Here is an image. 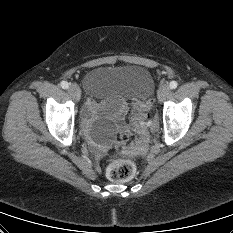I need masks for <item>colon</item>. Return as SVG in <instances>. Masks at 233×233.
<instances>
[{"label": "colon", "mask_w": 233, "mask_h": 233, "mask_svg": "<svg viewBox=\"0 0 233 233\" xmlns=\"http://www.w3.org/2000/svg\"><path fill=\"white\" fill-rule=\"evenodd\" d=\"M151 108L150 101L141 104L134 117V128L137 132L136 140L131 144L129 150L138 152L145 149L149 142V110ZM136 172L135 164L126 159H115L107 167V176L114 182H124L131 179Z\"/></svg>", "instance_id": "obj_1"}]
</instances>
